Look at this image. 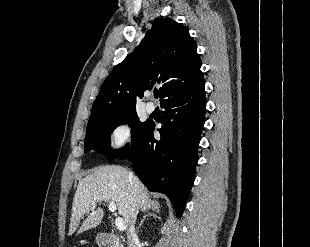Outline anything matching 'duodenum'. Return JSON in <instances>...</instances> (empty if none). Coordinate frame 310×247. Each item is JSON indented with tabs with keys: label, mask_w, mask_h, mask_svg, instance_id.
<instances>
[{
	"label": "duodenum",
	"mask_w": 310,
	"mask_h": 247,
	"mask_svg": "<svg viewBox=\"0 0 310 247\" xmlns=\"http://www.w3.org/2000/svg\"><path fill=\"white\" fill-rule=\"evenodd\" d=\"M100 247H124L119 238L111 233H103L99 238Z\"/></svg>",
	"instance_id": "410a0bca"
}]
</instances>
